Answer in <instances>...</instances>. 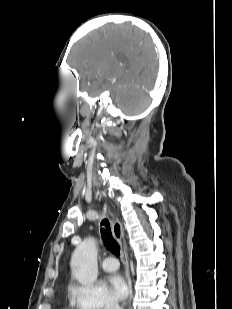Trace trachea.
<instances>
[{"mask_svg":"<svg viewBox=\"0 0 232 309\" xmlns=\"http://www.w3.org/2000/svg\"><path fill=\"white\" fill-rule=\"evenodd\" d=\"M101 236L106 248L115 255H120V246L118 242L113 238L111 227L108 219L101 221Z\"/></svg>","mask_w":232,"mask_h":309,"instance_id":"trachea-1","label":"trachea"}]
</instances>
